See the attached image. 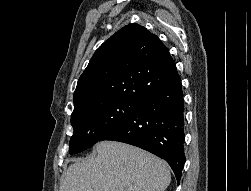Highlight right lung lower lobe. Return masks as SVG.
I'll use <instances>...</instances> for the list:
<instances>
[{
    "label": "right lung lower lobe",
    "instance_id": "1",
    "mask_svg": "<svg viewBox=\"0 0 251 191\" xmlns=\"http://www.w3.org/2000/svg\"><path fill=\"white\" fill-rule=\"evenodd\" d=\"M135 145L166 160L179 184L185 163L184 100L180 77L139 103L122 123L104 135Z\"/></svg>",
    "mask_w": 251,
    "mask_h": 191
}]
</instances>
